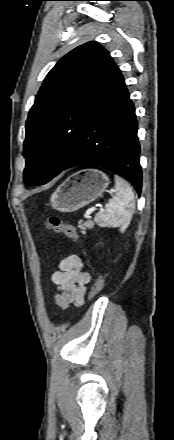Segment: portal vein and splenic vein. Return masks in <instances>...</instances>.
Instances as JSON below:
<instances>
[{"instance_id":"18ae733b","label":"portal vein and splenic vein","mask_w":174,"mask_h":440,"mask_svg":"<svg viewBox=\"0 0 174 440\" xmlns=\"http://www.w3.org/2000/svg\"><path fill=\"white\" fill-rule=\"evenodd\" d=\"M96 210V207L89 208L85 213V218H90V215ZM103 210V209H101Z\"/></svg>"}]
</instances>
